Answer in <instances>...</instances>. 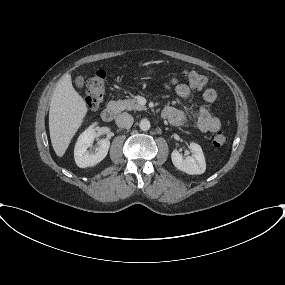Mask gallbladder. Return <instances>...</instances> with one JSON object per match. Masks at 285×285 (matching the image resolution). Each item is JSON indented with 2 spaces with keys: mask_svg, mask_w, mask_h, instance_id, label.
Here are the masks:
<instances>
[{
  "mask_svg": "<svg viewBox=\"0 0 285 285\" xmlns=\"http://www.w3.org/2000/svg\"><path fill=\"white\" fill-rule=\"evenodd\" d=\"M84 83H85V80H84V77L82 76H77L75 78V85L78 87V88H82L84 86Z\"/></svg>",
  "mask_w": 285,
  "mask_h": 285,
  "instance_id": "1",
  "label": "gallbladder"
}]
</instances>
